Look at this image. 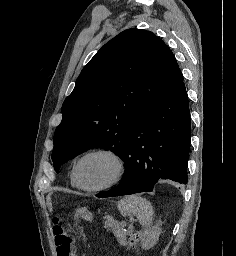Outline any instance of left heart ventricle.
<instances>
[{"label": "left heart ventricle", "instance_id": "1", "mask_svg": "<svg viewBox=\"0 0 236 256\" xmlns=\"http://www.w3.org/2000/svg\"><path fill=\"white\" fill-rule=\"evenodd\" d=\"M116 171L114 159L106 154L90 155L81 164V177L88 187H97L109 182Z\"/></svg>", "mask_w": 236, "mask_h": 256}]
</instances>
